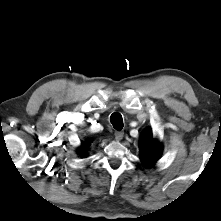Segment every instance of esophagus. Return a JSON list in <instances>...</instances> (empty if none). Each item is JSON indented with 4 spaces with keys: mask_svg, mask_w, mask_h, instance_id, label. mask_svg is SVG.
<instances>
[{
    "mask_svg": "<svg viewBox=\"0 0 221 221\" xmlns=\"http://www.w3.org/2000/svg\"><path fill=\"white\" fill-rule=\"evenodd\" d=\"M123 137H124V132H123V131H116V132H115V138H116V140L120 141V140L123 139Z\"/></svg>",
    "mask_w": 221,
    "mask_h": 221,
    "instance_id": "34e87169",
    "label": "esophagus"
}]
</instances>
